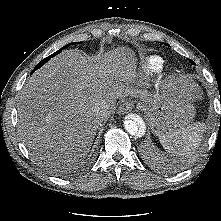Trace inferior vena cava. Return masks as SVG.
I'll return each instance as SVG.
<instances>
[{
  "mask_svg": "<svg viewBox=\"0 0 221 221\" xmlns=\"http://www.w3.org/2000/svg\"><path fill=\"white\" fill-rule=\"evenodd\" d=\"M102 113H103V115H106L108 113V111L105 107H102Z\"/></svg>",
  "mask_w": 221,
  "mask_h": 221,
  "instance_id": "1",
  "label": "inferior vena cava"
}]
</instances>
